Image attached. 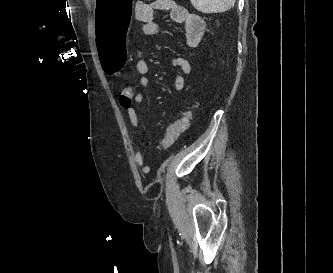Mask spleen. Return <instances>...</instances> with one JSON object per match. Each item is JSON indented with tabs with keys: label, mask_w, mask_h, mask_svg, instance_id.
I'll use <instances>...</instances> for the list:
<instances>
[{
	"label": "spleen",
	"mask_w": 333,
	"mask_h": 273,
	"mask_svg": "<svg viewBox=\"0 0 333 273\" xmlns=\"http://www.w3.org/2000/svg\"><path fill=\"white\" fill-rule=\"evenodd\" d=\"M192 5L202 13H219L231 9L236 0H190Z\"/></svg>",
	"instance_id": "obj_1"
}]
</instances>
